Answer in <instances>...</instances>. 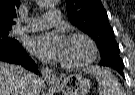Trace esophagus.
I'll list each match as a JSON object with an SVG mask.
<instances>
[{"mask_svg": "<svg viewBox=\"0 0 135 95\" xmlns=\"http://www.w3.org/2000/svg\"><path fill=\"white\" fill-rule=\"evenodd\" d=\"M41 75L44 78V80L49 83H54L57 81L56 73L53 71V69H51L49 67H42Z\"/></svg>", "mask_w": 135, "mask_h": 95, "instance_id": "obj_1", "label": "esophagus"}]
</instances>
